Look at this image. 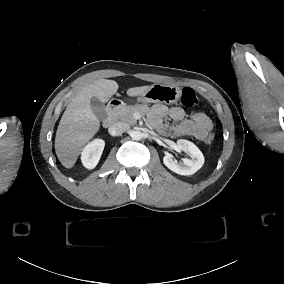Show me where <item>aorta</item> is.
Instances as JSON below:
<instances>
[{"label":"aorta","instance_id":"1","mask_svg":"<svg viewBox=\"0 0 284 284\" xmlns=\"http://www.w3.org/2000/svg\"><path fill=\"white\" fill-rule=\"evenodd\" d=\"M131 137L133 140H141L143 138V133L141 131H132Z\"/></svg>","mask_w":284,"mask_h":284}]
</instances>
